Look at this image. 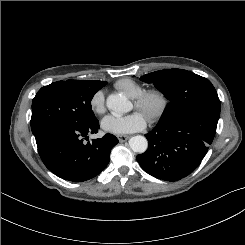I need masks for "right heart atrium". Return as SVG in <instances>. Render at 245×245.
I'll return each mask as SVG.
<instances>
[{"mask_svg":"<svg viewBox=\"0 0 245 245\" xmlns=\"http://www.w3.org/2000/svg\"><path fill=\"white\" fill-rule=\"evenodd\" d=\"M90 108L93 113L101 115L105 112V95L102 90L96 91L90 99Z\"/></svg>","mask_w":245,"mask_h":245,"instance_id":"d8ad5b80","label":"right heart atrium"}]
</instances>
